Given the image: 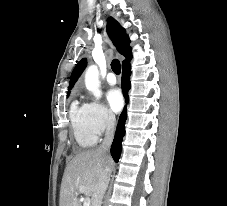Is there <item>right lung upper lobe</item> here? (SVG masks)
<instances>
[{"mask_svg":"<svg viewBox=\"0 0 227 206\" xmlns=\"http://www.w3.org/2000/svg\"><path fill=\"white\" fill-rule=\"evenodd\" d=\"M107 33L111 38L112 42L114 43L117 51L126 58V60L123 61L122 66L128 64L132 58V54H131V47H129L130 40L126 36L125 29L122 28L114 18L109 17L107 20ZM86 65H87L86 58L81 59L76 64V67L74 68L70 77L69 90L72 89V87L74 86L75 82L81 75Z\"/></svg>","mask_w":227,"mask_h":206,"instance_id":"obj_1","label":"right lung upper lobe"}]
</instances>
